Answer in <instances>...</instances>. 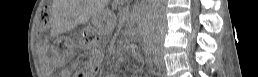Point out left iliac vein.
Here are the masks:
<instances>
[{
  "instance_id": "left-iliac-vein-1",
  "label": "left iliac vein",
  "mask_w": 258,
  "mask_h": 77,
  "mask_svg": "<svg viewBox=\"0 0 258 77\" xmlns=\"http://www.w3.org/2000/svg\"><path fill=\"white\" fill-rule=\"evenodd\" d=\"M159 61H160L161 63H164V61L162 60V58H161V57H160Z\"/></svg>"
}]
</instances>
